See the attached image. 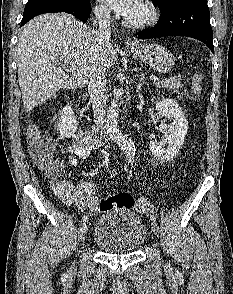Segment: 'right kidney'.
<instances>
[{
	"instance_id": "1",
	"label": "right kidney",
	"mask_w": 233,
	"mask_h": 294,
	"mask_svg": "<svg viewBox=\"0 0 233 294\" xmlns=\"http://www.w3.org/2000/svg\"><path fill=\"white\" fill-rule=\"evenodd\" d=\"M71 102L59 114L58 129L61 137L70 138L77 130V120L74 116Z\"/></svg>"
}]
</instances>
